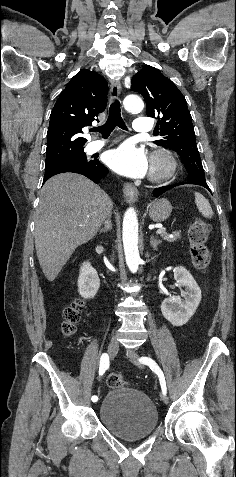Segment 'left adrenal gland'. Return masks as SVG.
I'll return each instance as SVG.
<instances>
[{"label":"left adrenal gland","mask_w":236,"mask_h":477,"mask_svg":"<svg viewBox=\"0 0 236 477\" xmlns=\"http://www.w3.org/2000/svg\"><path fill=\"white\" fill-rule=\"evenodd\" d=\"M161 243V241L156 240L154 236H151L150 238V245L154 250H157L158 245Z\"/></svg>","instance_id":"obj_1"}]
</instances>
